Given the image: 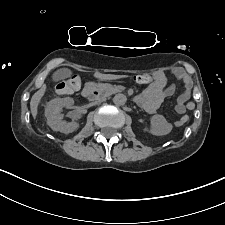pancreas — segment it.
Wrapping results in <instances>:
<instances>
[{
	"instance_id": "obj_1",
	"label": "pancreas",
	"mask_w": 225,
	"mask_h": 225,
	"mask_svg": "<svg viewBox=\"0 0 225 225\" xmlns=\"http://www.w3.org/2000/svg\"><path fill=\"white\" fill-rule=\"evenodd\" d=\"M97 86L106 95H110V94L120 91L122 89V87L115 86V85L113 86L111 84H98Z\"/></svg>"
}]
</instances>
